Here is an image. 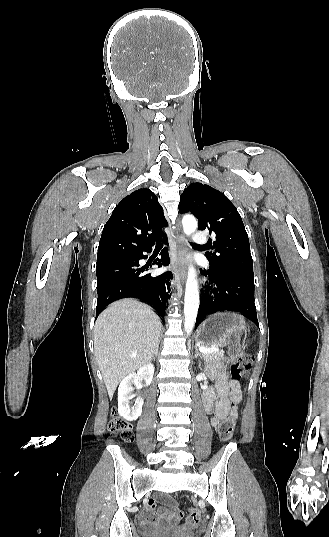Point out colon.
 Here are the masks:
<instances>
[{
	"label": "colon",
	"mask_w": 329,
	"mask_h": 537,
	"mask_svg": "<svg viewBox=\"0 0 329 537\" xmlns=\"http://www.w3.org/2000/svg\"><path fill=\"white\" fill-rule=\"evenodd\" d=\"M230 356L235 360L231 368L233 379H241L251 368L253 358L251 355L241 351L238 344H233L229 349ZM236 404L235 402H233ZM113 419L110 421L109 430L112 434L118 436L123 442L129 443L133 440L132 425L127 420L120 417L116 408L112 410ZM236 426V417H229L218 426V433L223 441L232 438ZM187 523L197 525L200 523L201 515L198 510L191 509L187 514Z\"/></svg>",
	"instance_id": "1"
}]
</instances>
